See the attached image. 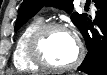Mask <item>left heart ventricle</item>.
I'll return each mask as SVG.
<instances>
[{"label":"left heart ventricle","mask_w":107,"mask_h":75,"mask_svg":"<svg viewBox=\"0 0 107 75\" xmlns=\"http://www.w3.org/2000/svg\"><path fill=\"white\" fill-rule=\"evenodd\" d=\"M43 49L46 57L56 65L70 63L76 56V43L65 31L53 30L44 40Z\"/></svg>","instance_id":"obj_1"}]
</instances>
